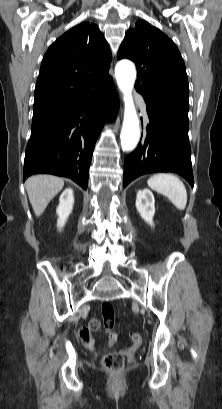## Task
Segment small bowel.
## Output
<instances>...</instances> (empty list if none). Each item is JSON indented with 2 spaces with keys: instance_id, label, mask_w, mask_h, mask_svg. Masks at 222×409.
Instances as JSON below:
<instances>
[{
  "instance_id": "c3829d8e",
  "label": "small bowel",
  "mask_w": 222,
  "mask_h": 409,
  "mask_svg": "<svg viewBox=\"0 0 222 409\" xmlns=\"http://www.w3.org/2000/svg\"><path fill=\"white\" fill-rule=\"evenodd\" d=\"M100 327V324L97 319H91L86 327L89 333V339L84 341L86 346L90 349L95 348L94 340L90 337L91 332L97 331ZM118 340V336L114 332L109 333V341L107 345V349H111L116 346Z\"/></svg>"
}]
</instances>
